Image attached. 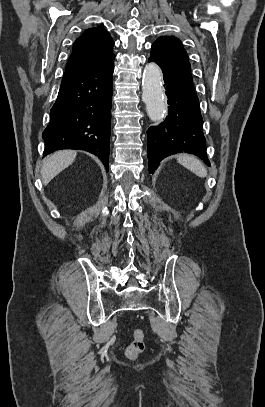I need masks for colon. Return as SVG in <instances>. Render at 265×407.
Instances as JSON below:
<instances>
[{"label": "colon", "mask_w": 265, "mask_h": 407, "mask_svg": "<svg viewBox=\"0 0 265 407\" xmlns=\"http://www.w3.org/2000/svg\"><path fill=\"white\" fill-rule=\"evenodd\" d=\"M146 349V336L145 332L136 328L132 332V341L125 350V354L128 358H137Z\"/></svg>", "instance_id": "1"}]
</instances>
